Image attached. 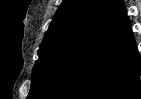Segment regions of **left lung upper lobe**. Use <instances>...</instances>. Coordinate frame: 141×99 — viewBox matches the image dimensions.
Instances as JSON below:
<instances>
[{
  "label": "left lung upper lobe",
  "instance_id": "5c2ea615",
  "mask_svg": "<svg viewBox=\"0 0 141 99\" xmlns=\"http://www.w3.org/2000/svg\"><path fill=\"white\" fill-rule=\"evenodd\" d=\"M119 0H64L38 51L27 99H38L76 51L105 22Z\"/></svg>",
  "mask_w": 141,
  "mask_h": 99
}]
</instances>
